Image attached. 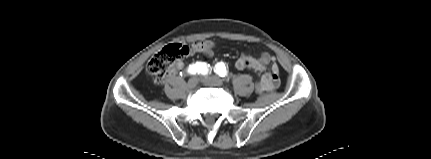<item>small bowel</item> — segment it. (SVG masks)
Wrapping results in <instances>:
<instances>
[{
  "mask_svg": "<svg viewBox=\"0 0 431 159\" xmlns=\"http://www.w3.org/2000/svg\"><path fill=\"white\" fill-rule=\"evenodd\" d=\"M204 46L214 50L215 43L211 40H206L192 44L190 47ZM194 55V54H190ZM210 56L213 53L209 54ZM235 69H251L258 74L259 91L258 93H264L272 91L279 86V66L275 63L274 58L268 53H262L258 58L251 56L249 53H242L235 62ZM184 67L182 61H178L172 68L171 72L180 71Z\"/></svg>",
  "mask_w": 431,
  "mask_h": 159,
  "instance_id": "c3829d8e",
  "label": "small bowel"
}]
</instances>
